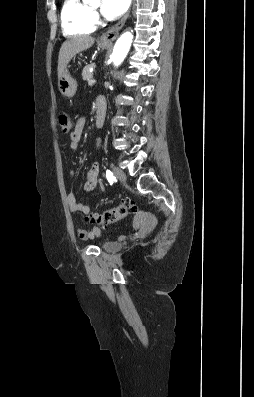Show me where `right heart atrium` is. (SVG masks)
I'll use <instances>...</instances> for the list:
<instances>
[{"instance_id":"obj_1","label":"right heart atrium","mask_w":254,"mask_h":397,"mask_svg":"<svg viewBox=\"0 0 254 397\" xmlns=\"http://www.w3.org/2000/svg\"><path fill=\"white\" fill-rule=\"evenodd\" d=\"M93 18H95V19L97 18L96 14H93Z\"/></svg>"}]
</instances>
